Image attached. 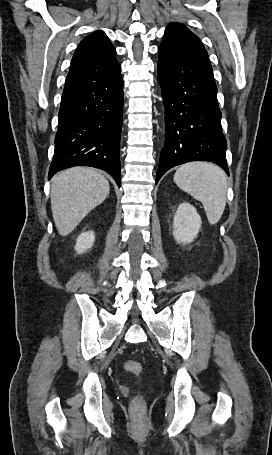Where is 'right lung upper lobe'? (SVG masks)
Masks as SVG:
<instances>
[{
  "label": "right lung upper lobe",
  "mask_w": 272,
  "mask_h": 455,
  "mask_svg": "<svg viewBox=\"0 0 272 455\" xmlns=\"http://www.w3.org/2000/svg\"><path fill=\"white\" fill-rule=\"evenodd\" d=\"M116 50L103 31H95L78 45L71 61L64 90L120 72Z\"/></svg>",
  "instance_id": "right-lung-upper-lobe-1"
}]
</instances>
